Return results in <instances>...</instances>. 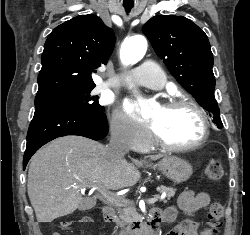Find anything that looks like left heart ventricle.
Masks as SVG:
<instances>
[{
    "instance_id": "obj_1",
    "label": "left heart ventricle",
    "mask_w": 250,
    "mask_h": 235,
    "mask_svg": "<svg viewBox=\"0 0 250 235\" xmlns=\"http://www.w3.org/2000/svg\"><path fill=\"white\" fill-rule=\"evenodd\" d=\"M149 119L162 139L170 144L191 143L201 131L198 114L187 106L172 109L156 107L149 114Z\"/></svg>"
}]
</instances>
